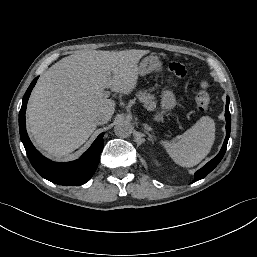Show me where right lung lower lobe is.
Masks as SVG:
<instances>
[{"instance_id":"1","label":"right lung lower lobe","mask_w":257,"mask_h":257,"mask_svg":"<svg viewBox=\"0 0 257 257\" xmlns=\"http://www.w3.org/2000/svg\"><path fill=\"white\" fill-rule=\"evenodd\" d=\"M35 78L28 87L19 113V131L21 141L27 156L35 170L45 179L59 185L80 186L86 183L94 174L103 150V136L101 133L90 148L78 160L65 163L53 162L42 156L32 145L25 129V111L30 93L36 84Z\"/></svg>"}]
</instances>
